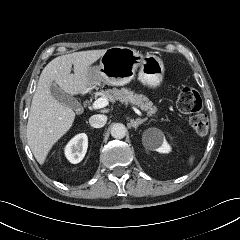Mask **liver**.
Wrapping results in <instances>:
<instances>
[{
	"mask_svg": "<svg viewBox=\"0 0 240 240\" xmlns=\"http://www.w3.org/2000/svg\"><path fill=\"white\" fill-rule=\"evenodd\" d=\"M106 49L80 51L56 57L43 69L34 93L27 123V141L39 164L43 165L53 145L72 127L75 112L55 100L50 93L54 82L69 95L93 88L91 65ZM72 65L74 74H71Z\"/></svg>",
	"mask_w": 240,
	"mask_h": 240,
	"instance_id": "liver-1",
	"label": "liver"
}]
</instances>
